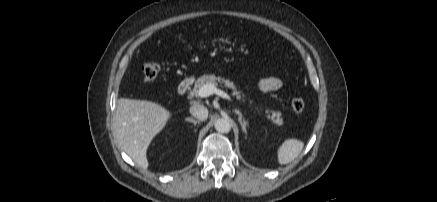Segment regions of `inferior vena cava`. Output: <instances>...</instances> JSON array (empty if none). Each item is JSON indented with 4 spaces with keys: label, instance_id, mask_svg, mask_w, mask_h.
Wrapping results in <instances>:
<instances>
[{
    "label": "inferior vena cava",
    "instance_id": "obj_1",
    "mask_svg": "<svg viewBox=\"0 0 437 202\" xmlns=\"http://www.w3.org/2000/svg\"><path fill=\"white\" fill-rule=\"evenodd\" d=\"M190 113L195 118L204 121L208 118V109L200 104H195L190 107Z\"/></svg>",
    "mask_w": 437,
    "mask_h": 202
}]
</instances>
